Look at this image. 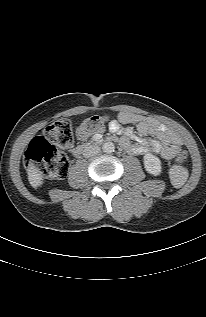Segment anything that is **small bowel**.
Listing matches in <instances>:
<instances>
[{
	"mask_svg": "<svg viewBox=\"0 0 206 317\" xmlns=\"http://www.w3.org/2000/svg\"><path fill=\"white\" fill-rule=\"evenodd\" d=\"M128 124H134L136 130L125 127ZM109 130L114 134H123L125 137L121 139V145L135 155L157 153L162 159L169 160L181 147L180 138L159 121L132 112H120L116 119L110 121ZM128 138L135 139L137 143L131 144Z\"/></svg>",
	"mask_w": 206,
	"mask_h": 317,
	"instance_id": "obj_1",
	"label": "small bowel"
}]
</instances>
